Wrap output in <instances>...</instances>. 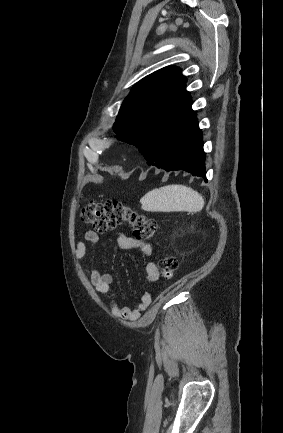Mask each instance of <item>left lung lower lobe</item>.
<instances>
[{"label": "left lung lower lobe", "instance_id": "1", "mask_svg": "<svg viewBox=\"0 0 283 433\" xmlns=\"http://www.w3.org/2000/svg\"><path fill=\"white\" fill-rule=\"evenodd\" d=\"M139 147L148 165L171 170H185L207 181L202 131L196 116L180 127L156 126L149 130Z\"/></svg>", "mask_w": 283, "mask_h": 433}]
</instances>
